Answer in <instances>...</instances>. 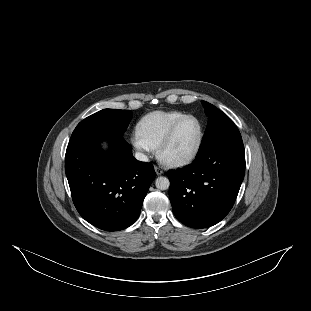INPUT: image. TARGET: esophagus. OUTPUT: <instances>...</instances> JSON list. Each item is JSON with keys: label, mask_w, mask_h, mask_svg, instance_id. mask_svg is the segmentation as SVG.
Returning <instances> with one entry per match:
<instances>
[{"label": "esophagus", "mask_w": 311, "mask_h": 311, "mask_svg": "<svg viewBox=\"0 0 311 311\" xmlns=\"http://www.w3.org/2000/svg\"><path fill=\"white\" fill-rule=\"evenodd\" d=\"M154 169H155V172L156 174L159 176V175H162L164 173V170L162 169V167L160 166H157V165H154Z\"/></svg>", "instance_id": "34e87169"}]
</instances>
